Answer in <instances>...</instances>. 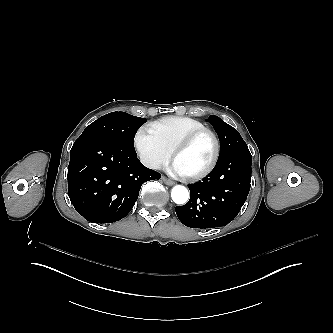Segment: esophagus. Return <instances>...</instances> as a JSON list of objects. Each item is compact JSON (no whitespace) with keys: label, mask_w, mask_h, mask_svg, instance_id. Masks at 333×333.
<instances>
[{"label":"esophagus","mask_w":333,"mask_h":333,"mask_svg":"<svg viewBox=\"0 0 333 333\" xmlns=\"http://www.w3.org/2000/svg\"><path fill=\"white\" fill-rule=\"evenodd\" d=\"M161 179H162V181H163L166 185H168V186H172V185L175 184L174 181L168 179V178H167L166 176H164V175H162Z\"/></svg>","instance_id":"34e87169"}]
</instances>
